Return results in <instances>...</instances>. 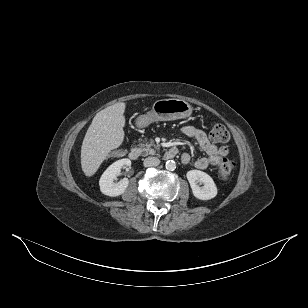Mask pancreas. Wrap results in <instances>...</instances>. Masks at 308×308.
<instances>
[{
	"instance_id": "cf45deb5",
	"label": "pancreas",
	"mask_w": 308,
	"mask_h": 308,
	"mask_svg": "<svg viewBox=\"0 0 308 308\" xmlns=\"http://www.w3.org/2000/svg\"><path fill=\"white\" fill-rule=\"evenodd\" d=\"M139 146L144 156L155 155L160 149V146L154 144V142H140Z\"/></svg>"
}]
</instances>
